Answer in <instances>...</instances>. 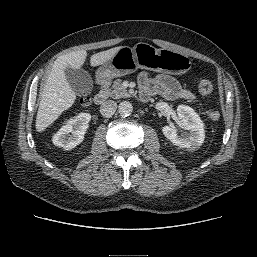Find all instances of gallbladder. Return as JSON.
<instances>
[{
    "label": "gallbladder",
    "mask_w": 257,
    "mask_h": 257,
    "mask_svg": "<svg viewBox=\"0 0 257 257\" xmlns=\"http://www.w3.org/2000/svg\"><path fill=\"white\" fill-rule=\"evenodd\" d=\"M66 79L72 88V90L78 96H84L91 92L93 88V82L90 74L84 69H65Z\"/></svg>",
    "instance_id": "bac80fb5"
}]
</instances>
